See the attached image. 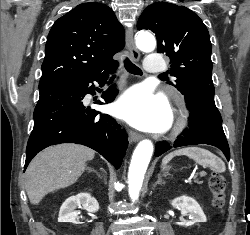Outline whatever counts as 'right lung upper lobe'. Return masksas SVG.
<instances>
[{
    "instance_id": "right-lung-upper-lobe-1",
    "label": "right lung upper lobe",
    "mask_w": 250,
    "mask_h": 235,
    "mask_svg": "<svg viewBox=\"0 0 250 235\" xmlns=\"http://www.w3.org/2000/svg\"><path fill=\"white\" fill-rule=\"evenodd\" d=\"M125 44L123 26L107 5L82 3L52 26L39 87L69 81L116 64Z\"/></svg>"
}]
</instances>
